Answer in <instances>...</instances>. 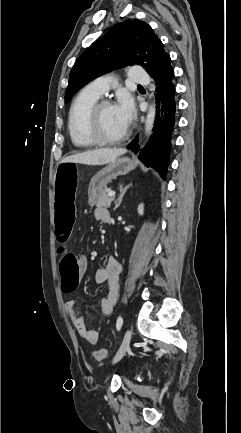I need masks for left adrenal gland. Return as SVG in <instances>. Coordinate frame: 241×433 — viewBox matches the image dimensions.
<instances>
[{"label": "left adrenal gland", "mask_w": 241, "mask_h": 433, "mask_svg": "<svg viewBox=\"0 0 241 433\" xmlns=\"http://www.w3.org/2000/svg\"><path fill=\"white\" fill-rule=\"evenodd\" d=\"M131 184H128L127 186L123 187V185H120V196L119 198L115 201V207L113 210H116L120 204L122 203L123 200V196L125 195V193L127 192V190L130 188Z\"/></svg>", "instance_id": "1"}]
</instances>
